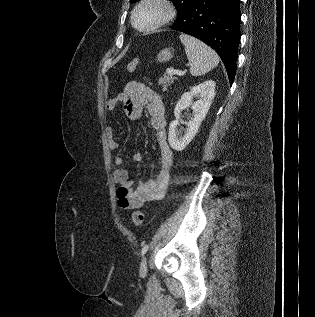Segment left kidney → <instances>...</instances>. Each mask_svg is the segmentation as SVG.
<instances>
[{"instance_id": "1", "label": "left kidney", "mask_w": 315, "mask_h": 317, "mask_svg": "<svg viewBox=\"0 0 315 317\" xmlns=\"http://www.w3.org/2000/svg\"><path fill=\"white\" fill-rule=\"evenodd\" d=\"M215 82L212 80L205 81L197 86L190 88L179 99L174 109L176 120L172 121L169 125L168 141L170 146L176 151H182L194 138L198 129L204 120L212 100L215 96ZM199 95L200 99L192 102L194 96ZM191 107L193 110V117L186 123L187 129L183 136L177 132V125L181 111L185 108Z\"/></svg>"}]
</instances>
